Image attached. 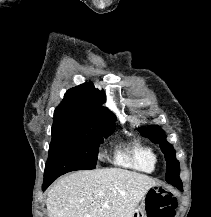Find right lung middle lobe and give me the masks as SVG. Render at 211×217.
Here are the masks:
<instances>
[{
	"instance_id": "1",
	"label": "right lung middle lobe",
	"mask_w": 211,
	"mask_h": 217,
	"mask_svg": "<svg viewBox=\"0 0 211 217\" xmlns=\"http://www.w3.org/2000/svg\"><path fill=\"white\" fill-rule=\"evenodd\" d=\"M114 129L115 127L53 123L44 179L61 176L70 171L94 169L99 144L103 137L109 136Z\"/></svg>"
}]
</instances>
